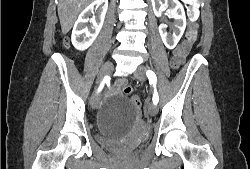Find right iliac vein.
<instances>
[{"label":"right iliac vein","instance_id":"63e3f726","mask_svg":"<svg viewBox=\"0 0 250 169\" xmlns=\"http://www.w3.org/2000/svg\"><path fill=\"white\" fill-rule=\"evenodd\" d=\"M113 69V64L112 63H106L102 66L98 76H97V84H100L105 76ZM90 104L92 109H96L99 105V97L97 94V88L95 89V92L93 93Z\"/></svg>","mask_w":250,"mask_h":169}]
</instances>
